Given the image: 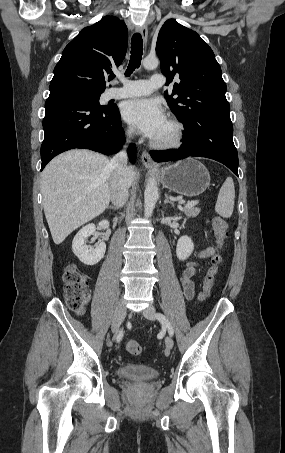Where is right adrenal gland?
<instances>
[{
	"instance_id": "right-adrenal-gland-1",
	"label": "right adrenal gland",
	"mask_w": 285,
	"mask_h": 453,
	"mask_svg": "<svg viewBox=\"0 0 285 453\" xmlns=\"http://www.w3.org/2000/svg\"><path fill=\"white\" fill-rule=\"evenodd\" d=\"M107 209L117 210L116 206H108Z\"/></svg>"
}]
</instances>
